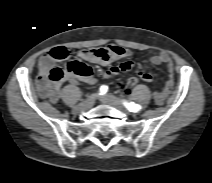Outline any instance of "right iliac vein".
<instances>
[{
  "mask_svg": "<svg viewBox=\"0 0 212 183\" xmlns=\"http://www.w3.org/2000/svg\"><path fill=\"white\" fill-rule=\"evenodd\" d=\"M94 101H95L94 95L88 97L86 100H84L83 102L78 104L76 107H74L73 112L74 113H80V112H83V111L90 109L93 106Z\"/></svg>",
  "mask_w": 212,
  "mask_h": 183,
  "instance_id": "63e3f726",
  "label": "right iliac vein"
}]
</instances>
